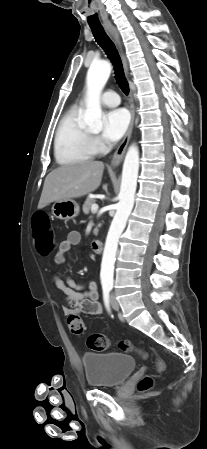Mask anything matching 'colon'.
<instances>
[{"instance_id": "obj_1", "label": "colon", "mask_w": 207, "mask_h": 449, "mask_svg": "<svg viewBox=\"0 0 207 449\" xmlns=\"http://www.w3.org/2000/svg\"><path fill=\"white\" fill-rule=\"evenodd\" d=\"M33 237L38 253L42 256H48L54 248V233L48 215L44 212H37L33 215ZM68 327L70 332L76 336L85 335V324L77 315L68 317ZM87 345L92 350L104 352L109 348V340L104 334L94 333L88 336ZM120 348L126 352H135L143 359L148 357L147 352L134 347L129 341L120 342ZM158 370H163L164 364L157 362ZM152 386L151 377L143 378L139 384L140 391H147Z\"/></svg>"}]
</instances>
